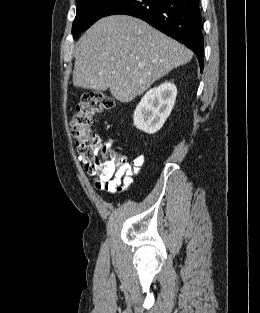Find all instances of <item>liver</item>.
Masks as SVG:
<instances>
[{"label":"liver","instance_id":"liver-1","mask_svg":"<svg viewBox=\"0 0 260 313\" xmlns=\"http://www.w3.org/2000/svg\"><path fill=\"white\" fill-rule=\"evenodd\" d=\"M193 52L145 21L112 15L98 20L79 40L73 71L75 86L106 91L130 102Z\"/></svg>","mask_w":260,"mask_h":313}]
</instances>
